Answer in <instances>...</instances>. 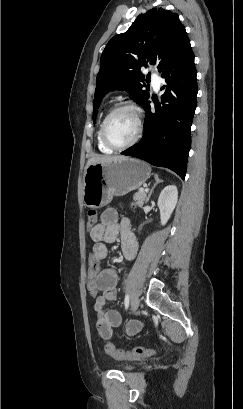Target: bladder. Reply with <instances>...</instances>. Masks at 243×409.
I'll list each match as a JSON object with an SVG mask.
<instances>
[{
  "instance_id": "1",
  "label": "bladder",
  "mask_w": 243,
  "mask_h": 409,
  "mask_svg": "<svg viewBox=\"0 0 243 409\" xmlns=\"http://www.w3.org/2000/svg\"><path fill=\"white\" fill-rule=\"evenodd\" d=\"M121 370L125 371V372H130L134 369V365L132 364H125V365H121L120 366Z\"/></svg>"
}]
</instances>
